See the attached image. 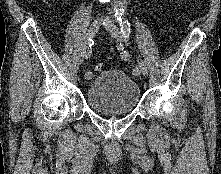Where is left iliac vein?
<instances>
[{
	"label": "left iliac vein",
	"instance_id": "1",
	"mask_svg": "<svg viewBox=\"0 0 221 174\" xmlns=\"http://www.w3.org/2000/svg\"><path fill=\"white\" fill-rule=\"evenodd\" d=\"M106 30L118 42H121V43H124V44L128 43L127 37H125L123 35V33L120 31V29L117 26H115L114 24H110L109 23L106 26ZM137 61H138L139 72L141 74H143L144 76H147L148 75V70H147V66H146L145 62L141 58H139V57L137 58Z\"/></svg>",
	"mask_w": 221,
	"mask_h": 174
}]
</instances>
